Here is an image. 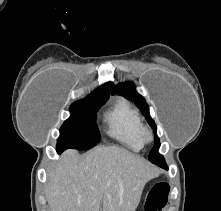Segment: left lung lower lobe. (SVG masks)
Here are the masks:
<instances>
[{
    "instance_id": "obj_1",
    "label": "left lung lower lobe",
    "mask_w": 221,
    "mask_h": 211,
    "mask_svg": "<svg viewBox=\"0 0 221 211\" xmlns=\"http://www.w3.org/2000/svg\"><path fill=\"white\" fill-rule=\"evenodd\" d=\"M160 167H166V163L165 162L161 163Z\"/></svg>"
}]
</instances>
